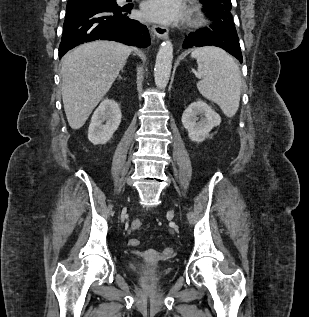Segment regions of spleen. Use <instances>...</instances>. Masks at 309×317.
<instances>
[{"label": "spleen", "instance_id": "obj_1", "mask_svg": "<svg viewBox=\"0 0 309 317\" xmlns=\"http://www.w3.org/2000/svg\"><path fill=\"white\" fill-rule=\"evenodd\" d=\"M191 57L197 60V88L206 99L218 104L227 117H233L240 103L241 75L235 60L217 47H199Z\"/></svg>", "mask_w": 309, "mask_h": 317}]
</instances>
